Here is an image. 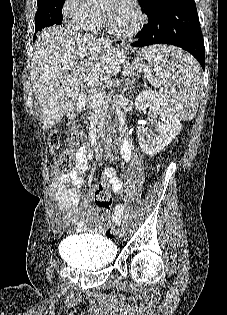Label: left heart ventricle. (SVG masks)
<instances>
[{"mask_svg":"<svg viewBox=\"0 0 227 315\" xmlns=\"http://www.w3.org/2000/svg\"><path fill=\"white\" fill-rule=\"evenodd\" d=\"M102 10L112 26L119 31H130L136 23L135 14L130 6L114 8V1L108 0Z\"/></svg>","mask_w":227,"mask_h":315,"instance_id":"obj_1","label":"left heart ventricle"}]
</instances>
